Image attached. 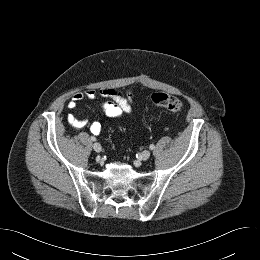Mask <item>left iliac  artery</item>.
<instances>
[{
  "label": "left iliac artery",
  "mask_w": 260,
  "mask_h": 260,
  "mask_svg": "<svg viewBox=\"0 0 260 260\" xmlns=\"http://www.w3.org/2000/svg\"><path fill=\"white\" fill-rule=\"evenodd\" d=\"M149 148H150V150H153V149L155 148V146H154L153 144H151V145L149 146Z\"/></svg>",
  "instance_id": "1"
}]
</instances>
